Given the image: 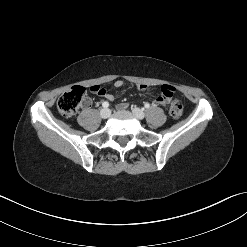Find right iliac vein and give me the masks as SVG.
Instances as JSON below:
<instances>
[{
	"mask_svg": "<svg viewBox=\"0 0 247 247\" xmlns=\"http://www.w3.org/2000/svg\"><path fill=\"white\" fill-rule=\"evenodd\" d=\"M111 112L109 109L107 108H104L100 111V116L103 118V119H106L110 116Z\"/></svg>",
	"mask_w": 247,
	"mask_h": 247,
	"instance_id": "1",
	"label": "right iliac vein"
}]
</instances>
